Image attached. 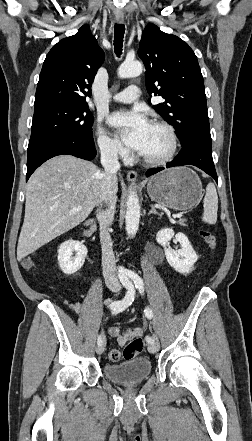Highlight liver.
<instances>
[{
  "label": "liver",
  "mask_w": 252,
  "mask_h": 441,
  "mask_svg": "<svg viewBox=\"0 0 252 441\" xmlns=\"http://www.w3.org/2000/svg\"><path fill=\"white\" fill-rule=\"evenodd\" d=\"M102 172L95 164L71 155L53 157L30 177L17 259L82 223L98 203ZM115 195L118 181L113 184ZM117 197V195H116ZM82 207L81 210H75Z\"/></svg>",
  "instance_id": "6515ba94"
}]
</instances>
